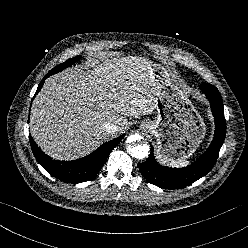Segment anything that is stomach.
I'll list each match as a JSON object with an SVG mask.
<instances>
[{
  "instance_id": "1",
  "label": "stomach",
  "mask_w": 248,
  "mask_h": 248,
  "mask_svg": "<svg viewBox=\"0 0 248 248\" xmlns=\"http://www.w3.org/2000/svg\"><path fill=\"white\" fill-rule=\"evenodd\" d=\"M150 73L158 90L155 100L157 117L140 128L157 139V152L165 161L185 160L202 142L206 127L189 96L170 78L167 71L149 62Z\"/></svg>"
}]
</instances>
